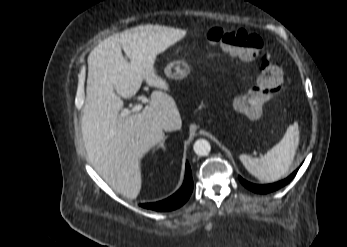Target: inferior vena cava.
Returning <instances> with one entry per match:
<instances>
[{
    "mask_svg": "<svg viewBox=\"0 0 347 247\" xmlns=\"http://www.w3.org/2000/svg\"><path fill=\"white\" fill-rule=\"evenodd\" d=\"M161 128L165 131H173L176 130V124L171 119H165L161 122Z\"/></svg>",
    "mask_w": 347,
    "mask_h": 247,
    "instance_id": "inferior-vena-cava-1",
    "label": "inferior vena cava"
}]
</instances>
